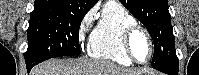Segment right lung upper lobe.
Masks as SVG:
<instances>
[{
	"label": "right lung upper lobe",
	"instance_id": "right-lung-upper-lobe-1",
	"mask_svg": "<svg viewBox=\"0 0 199 75\" xmlns=\"http://www.w3.org/2000/svg\"><path fill=\"white\" fill-rule=\"evenodd\" d=\"M98 0H35V9L61 8L81 13H87Z\"/></svg>",
	"mask_w": 199,
	"mask_h": 75
}]
</instances>
